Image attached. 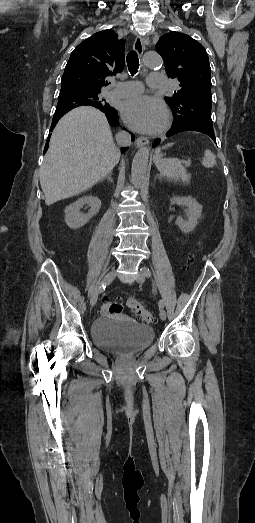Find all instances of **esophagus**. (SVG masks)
Listing matches in <instances>:
<instances>
[{
	"mask_svg": "<svg viewBox=\"0 0 255 523\" xmlns=\"http://www.w3.org/2000/svg\"><path fill=\"white\" fill-rule=\"evenodd\" d=\"M133 48H134L135 52L138 53V55L140 57H142L143 52H144V45H143V41H142L141 37H139V36L136 37L134 44H133ZM148 143H149V140L147 138L138 137L135 142V145H136V147H141L142 145H147Z\"/></svg>",
	"mask_w": 255,
	"mask_h": 523,
	"instance_id": "esophagus-1",
	"label": "esophagus"
}]
</instances>
